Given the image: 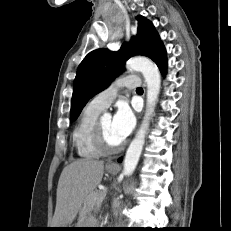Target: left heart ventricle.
Returning <instances> with one entry per match:
<instances>
[{"instance_id": "left-heart-ventricle-1", "label": "left heart ventricle", "mask_w": 231, "mask_h": 231, "mask_svg": "<svg viewBox=\"0 0 231 231\" xmlns=\"http://www.w3.org/2000/svg\"><path fill=\"white\" fill-rule=\"evenodd\" d=\"M101 126L103 129L106 142L109 145L116 146L121 143L113 132L112 120L110 118L101 120Z\"/></svg>"}]
</instances>
